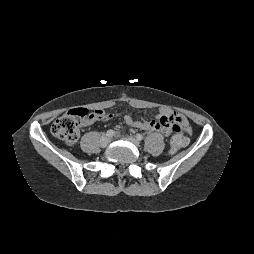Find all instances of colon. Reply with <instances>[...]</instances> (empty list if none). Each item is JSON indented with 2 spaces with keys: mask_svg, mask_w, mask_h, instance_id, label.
Returning a JSON list of instances; mask_svg holds the SVG:
<instances>
[{
  "mask_svg": "<svg viewBox=\"0 0 254 254\" xmlns=\"http://www.w3.org/2000/svg\"><path fill=\"white\" fill-rule=\"evenodd\" d=\"M98 116V111L90 112L84 108L73 109L53 122L51 132L57 139L68 145H73L78 140L82 124L96 119ZM170 128L173 131L170 150L174 153L187 144L186 135L189 133L190 127L183 117H175L170 124Z\"/></svg>",
  "mask_w": 254,
  "mask_h": 254,
  "instance_id": "obj_1",
  "label": "colon"
}]
</instances>
